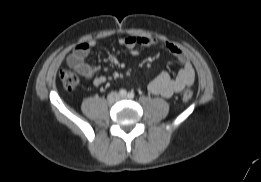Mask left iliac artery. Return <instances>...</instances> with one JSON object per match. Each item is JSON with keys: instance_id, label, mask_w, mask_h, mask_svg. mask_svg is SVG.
I'll list each match as a JSON object with an SVG mask.
<instances>
[{"instance_id": "1", "label": "left iliac artery", "mask_w": 261, "mask_h": 182, "mask_svg": "<svg viewBox=\"0 0 261 182\" xmlns=\"http://www.w3.org/2000/svg\"><path fill=\"white\" fill-rule=\"evenodd\" d=\"M134 96H135V95H134L133 92H129L128 95H127V97H128L129 99H133Z\"/></svg>"}]
</instances>
